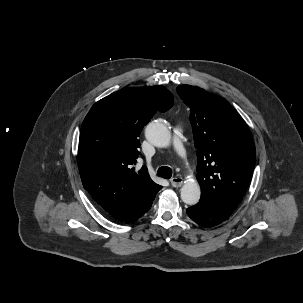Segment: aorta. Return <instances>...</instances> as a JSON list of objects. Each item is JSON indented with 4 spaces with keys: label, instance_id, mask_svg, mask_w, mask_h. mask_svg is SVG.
<instances>
[{
    "label": "aorta",
    "instance_id": "762f6f07",
    "mask_svg": "<svg viewBox=\"0 0 303 303\" xmlns=\"http://www.w3.org/2000/svg\"><path fill=\"white\" fill-rule=\"evenodd\" d=\"M146 139L156 147H167L171 142V133L168 127L158 121L150 122L145 129ZM181 199L188 205L198 203L201 190L198 182L194 179L186 180L181 188Z\"/></svg>",
    "mask_w": 303,
    "mask_h": 303
}]
</instances>
